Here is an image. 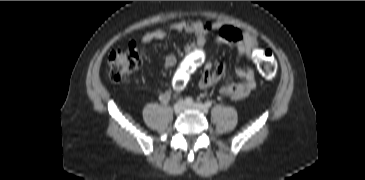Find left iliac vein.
I'll return each instance as SVG.
<instances>
[{"label":"left iliac vein","instance_id":"left-iliac-vein-1","mask_svg":"<svg viewBox=\"0 0 365 180\" xmlns=\"http://www.w3.org/2000/svg\"><path fill=\"white\" fill-rule=\"evenodd\" d=\"M186 108L195 109V110H198V111H200L204 114H206L208 112V108L202 103H194V104H191V105H187Z\"/></svg>","mask_w":365,"mask_h":180}]
</instances>
